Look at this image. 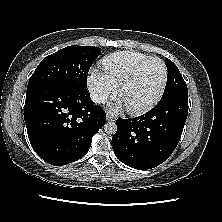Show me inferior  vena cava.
Masks as SVG:
<instances>
[{
  "mask_svg": "<svg viewBox=\"0 0 222 222\" xmlns=\"http://www.w3.org/2000/svg\"><path fill=\"white\" fill-rule=\"evenodd\" d=\"M91 99L95 103H104L106 100V96L105 94H102V93L93 92L91 93Z\"/></svg>",
  "mask_w": 222,
  "mask_h": 222,
  "instance_id": "inferior-vena-cava-1",
  "label": "inferior vena cava"
}]
</instances>
